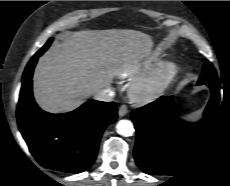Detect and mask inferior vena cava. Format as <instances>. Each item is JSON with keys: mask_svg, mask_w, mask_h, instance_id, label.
Segmentation results:
<instances>
[{"mask_svg": "<svg viewBox=\"0 0 230 186\" xmlns=\"http://www.w3.org/2000/svg\"><path fill=\"white\" fill-rule=\"evenodd\" d=\"M115 95L111 87H107L95 94L94 98L98 101L110 102Z\"/></svg>", "mask_w": 230, "mask_h": 186, "instance_id": "602c4592", "label": "inferior vena cava"}]
</instances>
